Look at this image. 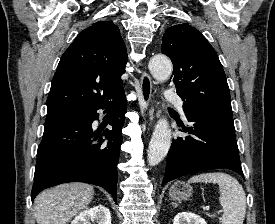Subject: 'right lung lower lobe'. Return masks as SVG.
<instances>
[{
    "label": "right lung lower lobe",
    "mask_w": 275,
    "mask_h": 224,
    "mask_svg": "<svg viewBox=\"0 0 275 224\" xmlns=\"http://www.w3.org/2000/svg\"><path fill=\"white\" fill-rule=\"evenodd\" d=\"M112 99L80 111L54 112L46 116L37 151L31 200L49 187L85 182L105 188L117 203V163L127 108L124 90ZM99 109L115 111L110 121L112 130L102 133L92 130ZM105 139L108 142H104Z\"/></svg>",
    "instance_id": "98d812e1"
}]
</instances>
